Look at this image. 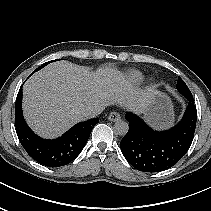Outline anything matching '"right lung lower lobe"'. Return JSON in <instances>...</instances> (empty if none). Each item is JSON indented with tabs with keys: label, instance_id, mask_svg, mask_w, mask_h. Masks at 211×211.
Here are the masks:
<instances>
[{
	"label": "right lung lower lobe",
	"instance_id": "1",
	"mask_svg": "<svg viewBox=\"0 0 211 211\" xmlns=\"http://www.w3.org/2000/svg\"><path fill=\"white\" fill-rule=\"evenodd\" d=\"M99 122L93 118L77 123L57 139L47 140L37 136L26 124L22 113V86L15 103V127L25 151L38 163L48 167H60L72 162L81 153L90 133Z\"/></svg>",
	"mask_w": 211,
	"mask_h": 211
}]
</instances>
